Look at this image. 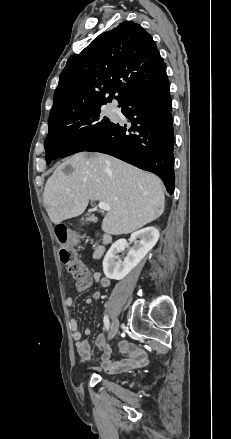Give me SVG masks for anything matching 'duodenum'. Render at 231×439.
Returning a JSON list of instances; mask_svg holds the SVG:
<instances>
[{"label": "duodenum", "instance_id": "duodenum-1", "mask_svg": "<svg viewBox=\"0 0 231 439\" xmlns=\"http://www.w3.org/2000/svg\"><path fill=\"white\" fill-rule=\"evenodd\" d=\"M112 242V236L109 233H103L101 238V244L96 248L94 252L95 258H100L105 250V247Z\"/></svg>", "mask_w": 231, "mask_h": 439}]
</instances>
